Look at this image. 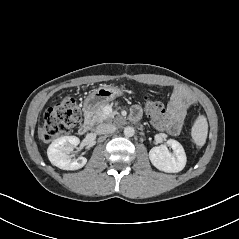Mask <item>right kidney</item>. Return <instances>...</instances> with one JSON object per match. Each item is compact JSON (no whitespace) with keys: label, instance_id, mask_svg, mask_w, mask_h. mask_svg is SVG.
<instances>
[{"label":"right kidney","instance_id":"ca27d5eb","mask_svg":"<svg viewBox=\"0 0 239 239\" xmlns=\"http://www.w3.org/2000/svg\"><path fill=\"white\" fill-rule=\"evenodd\" d=\"M80 140L76 136H63L54 140L47 149L50 162L63 170H77L82 168L87 159L79 157L75 160L70 159V152L79 144Z\"/></svg>","mask_w":239,"mask_h":239}]
</instances>
